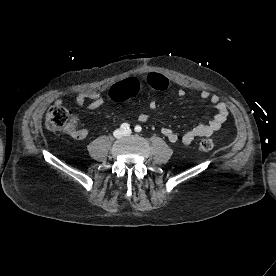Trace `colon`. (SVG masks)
<instances>
[{"instance_id": "1", "label": "colon", "mask_w": 276, "mask_h": 276, "mask_svg": "<svg viewBox=\"0 0 276 276\" xmlns=\"http://www.w3.org/2000/svg\"><path fill=\"white\" fill-rule=\"evenodd\" d=\"M118 87H113L111 94L117 95ZM78 123V117L62 105L56 104L50 107L46 114L45 125L50 132H65L73 135ZM214 142L210 138H203L197 143V150L200 152H209L213 149Z\"/></svg>"}]
</instances>
